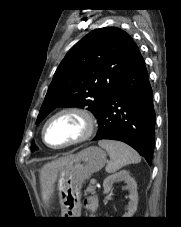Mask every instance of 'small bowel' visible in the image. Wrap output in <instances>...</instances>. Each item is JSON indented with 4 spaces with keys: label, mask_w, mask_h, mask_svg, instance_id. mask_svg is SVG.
<instances>
[{
    "label": "small bowel",
    "mask_w": 181,
    "mask_h": 227,
    "mask_svg": "<svg viewBox=\"0 0 181 227\" xmlns=\"http://www.w3.org/2000/svg\"><path fill=\"white\" fill-rule=\"evenodd\" d=\"M85 206L91 215H96L98 212V199L95 196H90L85 200Z\"/></svg>",
    "instance_id": "small-bowel-1"
}]
</instances>
